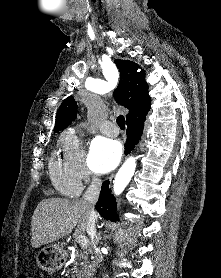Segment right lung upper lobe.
Returning <instances> with one entry per match:
<instances>
[{"label": "right lung upper lobe", "instance_id": "right-lung-upper-lobe-1", "mask_svg": "<svg viewBox=\"0 0 221 278\" xmlns=\"http://www.w3.org/2000/svg\"><path fill=\"white\" fill-rule=\"evenodd\" d=\"M120 81L114 90L116 101L129 109L127 122L142 119L150 109L151 98L145 82V72H137L138 65L131 61L116 59ZM77 115V104L72 96L66 98L58 109L54 133L66 128Z\"/></svg>", "mask_w": 221, "mask_h": 278}]
</instances>
